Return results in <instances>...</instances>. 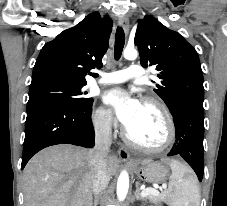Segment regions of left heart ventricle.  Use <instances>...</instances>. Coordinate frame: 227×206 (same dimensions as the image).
<instances>
[{"label":"left heart ventricle","mask_w":227,"mask_h":206,"mask_svg":"<svg viewBox=\"0 0 227 206\" xmlns=\"http://www.w3.org/2000/svg\"><path fill=\"white\" fill-rule=\"evenodd\" d=\"M128 132L138 143L155 146L164 141L166 126L157 108L142 104L140 114Z\"/></svg>","instance_id":"1"}]
</instances>
